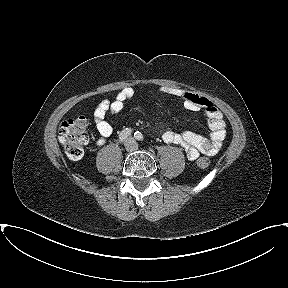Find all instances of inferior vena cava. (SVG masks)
<instances>
[{
	"mask_svg": "<svg viewBox=\"0 0 288 288\" xmlns=\"http://www.w3.org/2000/svg\"><path fill=\"white\" fill-rule=\"evenodd\" d=\"M132 149H137V145H136V146H134Z\"/></svg>",
	"mask_w": 288,
	"mask_h": 288,
	"instance_id": "602c4592",
	"label": "inferior vena cava"
}]
</instances>
